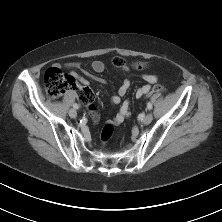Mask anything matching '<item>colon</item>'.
<instances>
[{
	"mask_svg": "<svg viewBox=\"0 0 222 222\" xmlns=\"http://www.w3.org/2000/svg\"><path fill=\"white\" fill-rule=\"evenodd\" d=\"M112 65L115 67H126L128 62L122 57H114L111 60ZM131 66L136 70H143L147 67L144 62H133ZM44 87L48 96L56 98L65 92L76 88L75 78L71 75L63 73L57 67H50L44 73ZM165 88L162 85H154L153 88L145 95L149 99L156 92H164ZM79 99L86 103L90 110H94L95 106L92 104V93L87 88H78ZM113 125L106 124L101 131V140L106 143L113 135Z\"/></svg>",
	"mask_w": 222,
	"mask_h": 222,
	"instance_id": "obj_1",
	"label": "colon"
}]
</instances>
